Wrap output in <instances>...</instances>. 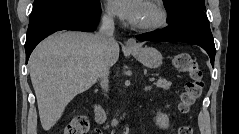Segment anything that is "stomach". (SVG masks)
I'll list each match as a JSON object with an SVG mask.
<instances>
[{
    "label": "stomach",
    "instance_id": "stomach-1",
    "mask_svg": "<svg viewBox=\"0 0 239 134\" xmlns=\"http://www.w3.org/2000/svg\"><path fill=\"white\" fill-rule=\"evenodd\" d=\"M130 53L144 66L148 68H158L162 64L161 53L153 47H138L136 49H129Z\"/></svg>",
    "mask_w": 239,
    "mask_h": 134
}]
</instances>
